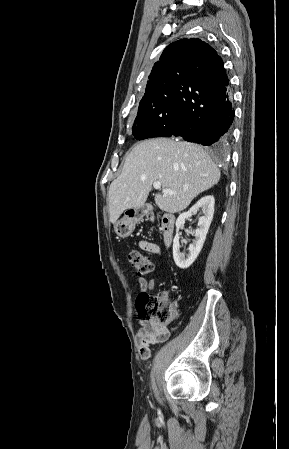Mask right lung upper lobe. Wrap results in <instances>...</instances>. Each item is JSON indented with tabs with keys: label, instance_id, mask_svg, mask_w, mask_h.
<instances>
[{
	"label": "right lung upper lobe",
	"instance_id": "right-lung-upper-lobe-1",
	"mask_svg": "<svg viewBox=\"0 0 289 449\" xmlns=\"http://www.w3.org/2000/svg\"><path fill=\"white\" fill-rule=\"evenodd\" d=\"M224 63L217 52L200 39H181L168 45L155 63L144 96L175 91L179 82L206 81L213 78Z\"/></svg>",
	"mask_w": 289,
	"mask_h": 449
}]
</instances>
